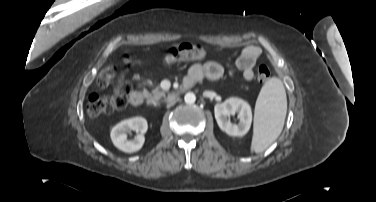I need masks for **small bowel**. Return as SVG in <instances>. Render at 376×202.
I'll return each instance as SVG.
<instances>
[{
    "label": "small bowel",
    "mask_w": 376,
    "mask_h": 202,
    "mask_svg": "<svg viewBox=\"0 0 376 202\" xmlns=\"http://www.w3.org/2000/svg\"><path fill=\"white\" fill-rule=\"evenodd\" d=\"M260 56L261 50L256 46H248L240 53L236 65L242 71L245 80H251L253 78V67ZM222 74L223 69L217 62L210 61L205 64H194L188 69L185 83L191 86L202 78L217 80Z\"/></svg>",
    "instance_id": "1"
}]
</instances>
